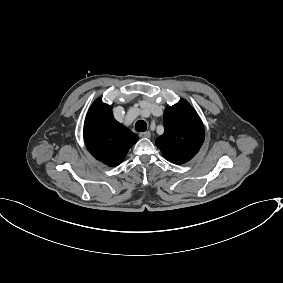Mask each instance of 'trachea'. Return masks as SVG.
Masks as SVG:
<instances>
[{"label":"trachea","mask_w":283,"mask_h":283,"mask_svg":"<svg viewBox=\"0 0 283 283\" xmlns=\"http://www.w3.org/2000/svg\"><path fill=\"white\" fill-rule=\"evenodd\" d=\"M135 130L138 132H145L147 130V123L144 120H138L135 123Z\"/></svg>","instance_id":"obj_1"}]
</instances>
